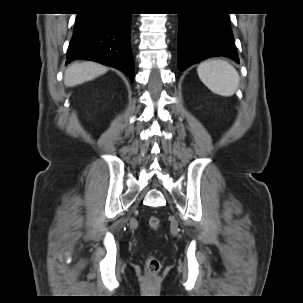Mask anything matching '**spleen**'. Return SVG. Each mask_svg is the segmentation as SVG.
<instances>
[{
	"instance_id": "obj_1",
	"label": "spleen",
	"mask_w": 303,
	"mask_h": 303,
	"mask_svg": "<svg viewBox=\"0 0 303 303\" xmlns=\"http://www.w3.org/2000/svg\"><path fill=\"white\" fill-rule=\"evenodd\" d=\"M197 72L200 80L217 95L230 97L238 88L239 75L227 61L221 59L204 61L197 67Z\"/></svg>"
}]
</instances>
